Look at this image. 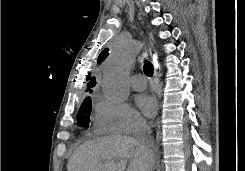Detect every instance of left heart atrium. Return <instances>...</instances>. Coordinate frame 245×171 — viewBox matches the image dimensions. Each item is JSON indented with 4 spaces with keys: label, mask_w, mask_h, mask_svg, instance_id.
<instances>
[{
    "label": "left heart atrium",
    "mask_w": 245,
    "mask_h": 171,
    "mask_svg": "<svg viewBox=\"0 0 245 171\" xmlns=\"http://www.w3.org/2000/svg\"><path fill=\"white\" fill-rule=\"evenodd\" d=\"M136 104L146 116L153 115L157 109L156 100L147 94L138 95L136 97Z\"/></svg>",
    "instance_id": "obj_1"
}]
</instances>
